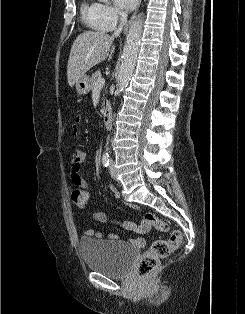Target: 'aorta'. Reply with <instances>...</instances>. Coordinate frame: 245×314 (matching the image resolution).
<instances>
[{
    "instance_id": "1",
    "label": "aorta",
    "mask_w": 245,
    "mask_h": 314,
    "mask_svg": "<svg viewBox=\"0 0 245 314\" xmlns=\"http://www.w3.org/2000/svg\"><path fill=\"white\" fill-rule=\"evenodd\" d=\"M108 2V0H99ZM143 14H139L132 22L123 49L122 60L119 67L118 82L119 89L123 90L129 84L139 52L140 40L143 31Z\"/></svg>"
}]
</instances>
